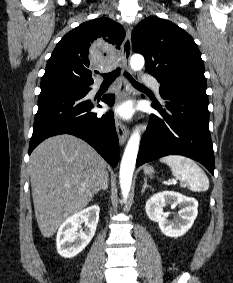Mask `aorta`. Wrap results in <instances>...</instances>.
Segmentation results:
<instances>
[{
	"label": "aorta",
	"instance_id": "762f6f07",
	"mask_svg": "<svg viewBox=\"0 0 233 283\" xmlns=\"http://www.w3.org/2000/svg\"><path fill=\"white\" fill-rule=\"evenodd\" d=\"M144 64H145V60L142 55L134 54L131 57L130 66L132 70L139 71L143 68ZM139 144H140V134L139 132L135 131L130 136L127 142L120 165L119 181H120V188L124 201L127 200L130 192L132 177H133L137 154L139 150Z\"/></svg>",
	"mask_w": 233,
	"mask_h": 283
}]
</instances>
